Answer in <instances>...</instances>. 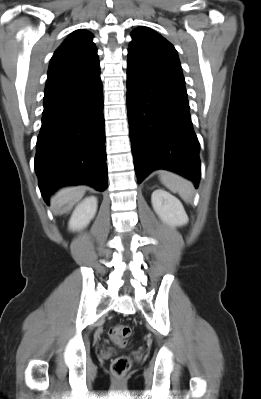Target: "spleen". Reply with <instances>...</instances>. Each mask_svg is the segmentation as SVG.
<instances>
[{"label":"spleen","instance_id":"3e777b00","mask_svg":"<svg viewBox=\"0 0 261 399\" xmlns=\"http://www.w3.org/2000/svg\"><path fill=\"white\" fill-rule=\"evenodd\" d=\"M161 182L172 192L178 193L186 202H191L194 187L190 181L168 171L160 172Z\"/></svg>","mask_w":261,"mask_h":399}]
</instances>
